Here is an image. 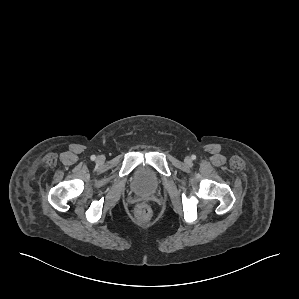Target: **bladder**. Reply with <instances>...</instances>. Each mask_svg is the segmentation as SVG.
Segmentation results:
<instances>
[{
	"instance_id": "obj_1",
	"label": "bladder",
	"mask_w": 299,
	"mask_h": 299,
	"mask_svg": "<svg viewBox=\"0 0 299 299\" xmlns=\"http://www.w3.org/2000/svg\"><path fill=\"white\" fill-rule=\"evenodd\" d=\"M131 186L138 194H151L160 187V178L151 167L142 165L134 171Z\"/></svg>"
}]
</instances>
